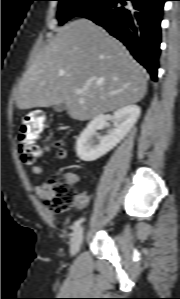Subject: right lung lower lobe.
<instances>
[{
  "label": "right lung lower lobe",
  "mask_w": 180,
  "mask_h": 299,
  "mask_svg": "<svg viewBox=\"0 0 180 299\" xmlns=\"http://www.w3.org/2000/svg\"><path fill=\"white\" fill-rule=\"evenodd\" d=\"M166 0H103L80 17L104 27L157 79L162 10Z\"/></svg>",
  "instance_id": "1"
}]
</instances>
